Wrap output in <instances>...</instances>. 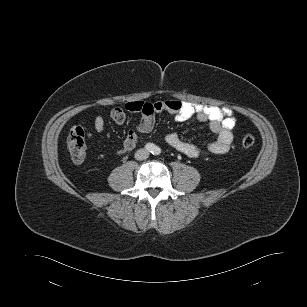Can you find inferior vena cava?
<instances>
[{
  "label": "inferior vena cava",
  "mask_w": 307,
  "mask_h": 307,
  "mask_svg": "<svg viewBox=\"0 0 307 307\" xmlns=\"http://www.w3.org/2000/svg\"><path fill=\"white\" fill-rule=\"evenodd\" d=\"M149 157V151L146 149H139L135 153V159L136 160H145Z\"/></svg>",
  "instance_id": "1"
}]
</instances>
